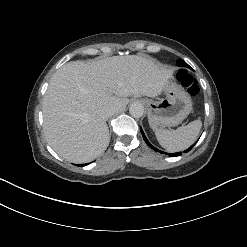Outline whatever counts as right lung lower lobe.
Masks as SVG:
<instances>
[{"label":"right lung lower lobe","instance_id":"1","mask_svg":"<svg viewBox=\"0 0 247 247\" xmlns=\"http://www.w3.org/2000/svg\"><path fill=\"white\" fill-rule=\"evenodd\" d=\"M85 164H79L78 166H84Z\"/></svg>","mask_w":247,"mask_h":247}]
</instances>
